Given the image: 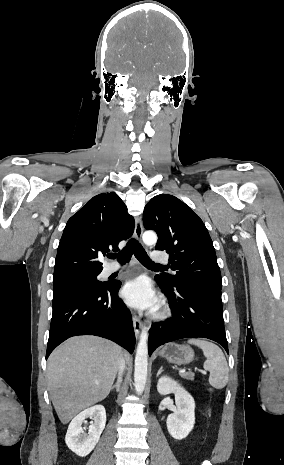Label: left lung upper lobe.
<instances>
[{
  "label": "left lung upper lobe",
  "mask_w": 284,
  "mask_h": 465,
  "mask_svg": "<svg viewBox=\"0 0 284 465\" xmlns=\"http://www.w3.org/2000/svg\"><path fill=\"white\" fill-rule=\"evenodd\" d=\"M145 229L158 234L156 250L170 253L176 275L155 277L170 288L178 283L202 284L221 290V274L211 237L200 217L178 198L153 197L143 212Z\"/></svg>",
  "instance_id": "5c2ea615"
}]
</instances>
